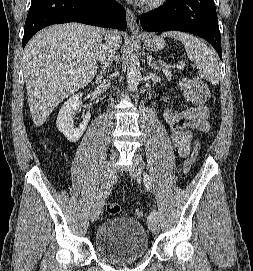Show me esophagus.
Listing matches in <instances>:
<instances>
[{"label": "esophagus", "instance_id": "esophagus-1", "mask_svg": "<svg viewBox=\"0 0 253 271\" xmlns=\"http://www.w3.org/2000/svg\"><path fill=\"white\" fill-rule=\"evenodd\" d=\"M126 17H127V26L130 32H132L133 34H138L140 28L137 24L136 16L134 12L129 8H126Z\"/></svg>", "mask_w": 253, "mask_h": 271}]
</instances>
